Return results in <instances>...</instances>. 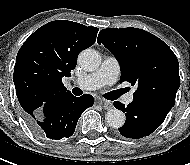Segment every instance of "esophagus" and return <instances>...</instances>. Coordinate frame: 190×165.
Instances as JSON below:
<instances>
[{
	"mask_svg": "<svg viewBox=\"0 0 190 165\" xmlns=\"http://www.w3.org/2000/svg\"><path fill=\"white\" fill-rule=\"evenodd\" d=\"M99 103L102 104V106L105 110H110L113 108V105L110 101L99 100Z\"/></svg>",
	"mask_w": 190,
	"mask_h": 165,
	"instance_id": "obj_1",
	"label": "esophagus"
}]
</instances>
